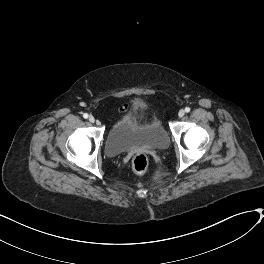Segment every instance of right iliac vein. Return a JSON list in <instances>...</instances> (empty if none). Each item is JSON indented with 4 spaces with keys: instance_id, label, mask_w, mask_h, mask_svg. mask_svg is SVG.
<instances>
[{
    "instance_id": "63e3f726",
    "label": "right iliac vein",
    "mask_w": 264,
    "mask_h": 264,
    "mask_svg": "<svg viewBox=\"0 0 264 264\" xmlns=\"http://www.w3.org/2000/svg\"><path fill=\"white\" fill-rule=\"evenodd\" d=\"M89 121H90L91 123H94V122H95V117H94V116H89Z\"/></svg>"
}]
</instances>
